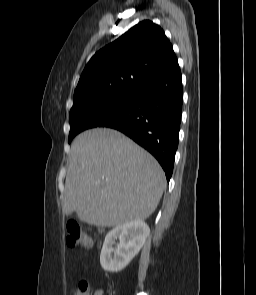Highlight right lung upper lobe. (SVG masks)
I'll return each instance as SVG.
<instances>
[{"mask_svg":"<svg viewBox=\"0 0 256 295\" xmlns=\"http://www.w3.org/2000/svg\"><path fill=\"white\" fill-rule=\"evenodd\" d=\"M175 57L161 27L142 21L91 58L73 101L92 102L136 92Z\"/></svg>","mask_w":256,"mask_h":295,"instance_id":"1","label":"right lung upper lobe"}]
</instances>
